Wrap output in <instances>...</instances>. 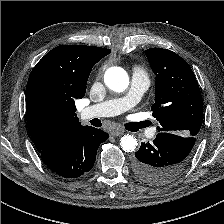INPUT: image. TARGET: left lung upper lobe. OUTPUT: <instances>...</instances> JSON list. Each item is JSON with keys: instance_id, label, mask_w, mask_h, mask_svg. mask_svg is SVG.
Listing matches in <instances>:
<instances>
[{"instance_id": "1", "label": "left lung upper lobe", "mask_w": 224, "mask_h": 224, "mask_svg": "<svg viewBox=\"0 0 224 224\" xmlns=\"http://www.w3.org/2000/svg\"><path fill=\"white\" fill-rule=\"evenodd\" d=\"M146 55L156 75L153 117L159 132L196 137L203 120L202 96L189 64L176 53L150 48Z\"/></svg>"}]
</instances>
